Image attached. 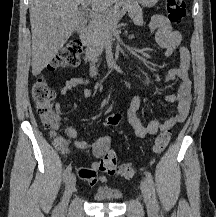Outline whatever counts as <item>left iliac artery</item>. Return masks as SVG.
I'll return each mask as SVG.
<instances>
[{
    "instance_id": "left-iliac-artery-1",
    "label": "left iliac artery",
    "mask_w": 216,
    "mask_h": 217,
    "mask_svg": "<svg viewBox=\"0 0 216 217\" xmlns=\"http://www.w3.org/2000/svg\"><path fill=\"white\" fill-rule=\"evenodd\" d=\"M145 176H146V182L148 183V186L150 188V192H151L152 197H153L154 205L156 208H158V201H157V197H156L155 186H154L152 175L149 171H146Z\"/></svg>"
}]
</instances>
